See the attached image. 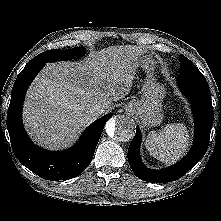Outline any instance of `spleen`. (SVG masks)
Masks as SVG:
<instances>
[{"instance_id":"3e777b00","label":"spleen","mask_w":221,"mask_h":221,"mask_svg":"<svg viewBox=\"0 0 221 221\" xmlns=\"http://www.w3.org/2000/svg\"><path fill=\"white\" fill-rule=\"evenodd\" d=\"M188 145L189 134L184 124H167L160 132L151 131L145 140L150 155L166 164L180 159Z\"/></svg>"}]
</instances>
